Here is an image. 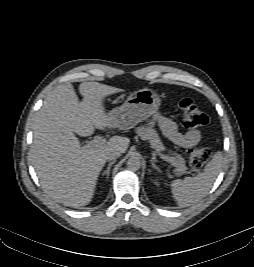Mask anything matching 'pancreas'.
<instances>
[{
  "label": "pancreas",
  "mask_w": 254,
  "mask_h": 267,
  "mask_svg": "<svg viewBox=\"0 0 254 267\" xmlns=\"http://www.w3.org/2000/svg\"><path fill=\"white\" fill-rule=\"evenodd\" d=\"M137 134L141 137L142 140H146L150 143L151 147L158 153L165 150L164 145L162 144L157 132L152 128H138ZM176 156L170 157L172 160V165L176 168L177 175H181L186 171L185 160L179 154Z\"/></svg>",
  "instance_id": "pancreas-1"
}]
</instances>
